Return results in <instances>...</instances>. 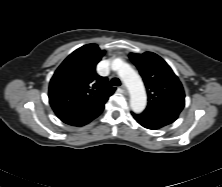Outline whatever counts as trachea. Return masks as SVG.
<instances>
[{
  "label": "trachea",
  "mask_w": 222,
  "mask_h": 187,
  "mask_svg": "<svg viewBox=\"0 0 222 187\" xmlns=\"http://www.w3.org/2000/svg\"><path fill=\"white\" fill-rule=\"evenodd\" d=\"M111 85H113V86H120L121 82H120V80L118 78H113L111 80Z\"/></svg>",
  "instance_id": "obj_1"
}]
</instances>
